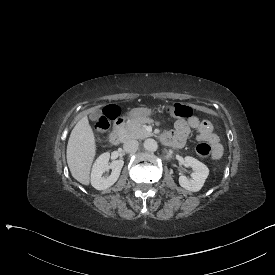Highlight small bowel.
<instances>
[{
  "mask_svg": "<svg viewBox=\"0 0 275 275\" xmlns=\"http://www.w3.org/2000/svg\"><path fill=\"white\" fill-rule=\"evenodd\" d=\"M191 130H198L197 139L199 141H206L212 145V156L214 159L221 157L223 152L222 145L219 142L218 136L213 132L211 123L207 120L200 121L197 117H192L188 121L180 120L176 123V131L167 133L166 135H179L183 144Z\"/></svg>",
  "mask_w": 275,
  "mask_h": 275,
  "instance_id": "1",
  "label": "small bowel"
}]
</instances>
